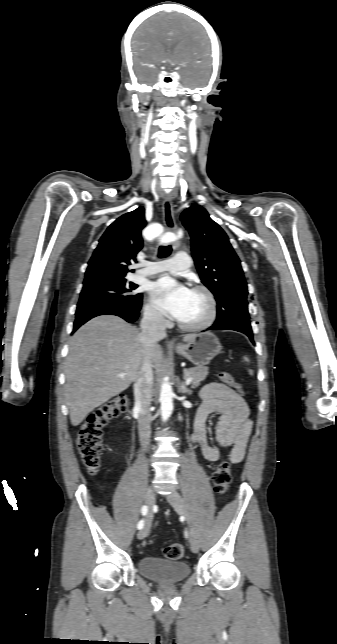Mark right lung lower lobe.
<instances>
[{
  "mask_svg": "<svg viewBox=\"0 0 337 644\" xmlns=\"http://www.w3.org/2000/svg\"><path fill=\"white\" fill-rule=\"evenodd\" d=\"M141 306H142V298L133 305L102 308V309L76 315L73 332H75L81 325H83L91 318L99 315H116L125 319L129 323H133L139 317Z\"/></svg>",
  "mask_w": 337,
  "mask_h": 644,
  "instance_id": "obj_1",
  "label": "right lung lower lobe"
}]
</instances>
